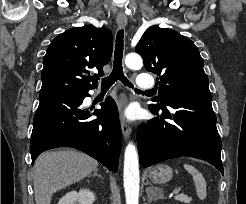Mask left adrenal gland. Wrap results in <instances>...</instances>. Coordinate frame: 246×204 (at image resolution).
<instances>
[{
	"mask_svg": "<svg viewBox=\"0 0 246 204\" xmlns=\"http://www.w3.org/2000/svg\"><path fill=\"white\" fill-rule=\"evenodd\" d=\"M151 200H152V196L148 192V201L151 202Z\"/></svg>",
	"mask_w": 246,
	"mask_h": 204,
	"instance_id": "left-adrenal-gland-1",
	"label": "left adrenal gland"
}]
</instances>
